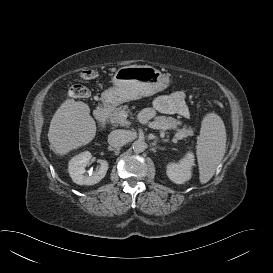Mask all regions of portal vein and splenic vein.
Masks as SVG:
<instances>
[{"mask_svg":"<svg viewBox=\"0 0 273 273\" xmlns=\"http://www.w3.org/2000/svg\"><path fill=\"white\" fill-rule=\"evenodd\" d=\"M123 116L124 117H127V115H125V114H123ZM138 119H139V121L141 122V123H146L147 122V120L144 118V116H143V113H140L139 115H138ZM149 126L151 127V125L149 124ZM152 128V127H151Z\"/></svg>","mask_w":273,"mask_h":273,"instance_id":"obj_1","label":"portal vein and splenic vein"}]
</instances>
